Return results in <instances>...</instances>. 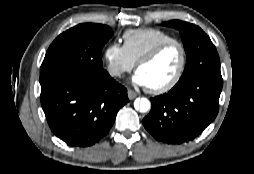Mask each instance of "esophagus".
<instances>
[{
  "label": "esophagus",
  "instance_id": "obj_1",
  "mask_svg": "<svg viewBox=\"0 0 254 174\" xmlns=\"http://www.w3.org/2000/svg\"><path fill=\"white\" fill-rule=\"evenodd\" d=\"M128 97L130 100H133L134 98L137 97V93L135 91L129 89L128 90Z\"/></svg>",
  "mask_w": 254,
  "mask_h": 174
}]
</instances>
